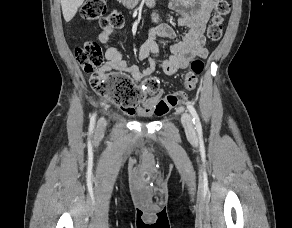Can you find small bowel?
<instances>
[{
	"label": "small bowel",
	"mask_w": 292,
	"mask_h": 228,
	"mask_svg": "<svg viewBox=\"0 0 292 228\" xmlns=\"http://www.w3.org/2000/svg\"><path fill=\"white\" fill-rule=\"evenodd\" d=\"M216 3L217 0H170L169 8L177 16V25L185 28L186 32L179 41L169 46V56L166 59L159 58L160 47L157 38L174 39L176 31L171 25L161 21L157 11L153 12L154 26L137 53L139 60L148 61V65L143 69L129 65L121 53L110 45L111 36L116 29H102L98 40L104 45L106 62L100 72L116 70L128 73L135 81H142L151 77L158 69L171 76L186 69L193 57L206 58L208 49L204 31ZM161 95L162 90L158 88L150 97L144 99L138 108H121L128 115L151 116L156 114L155 108Z\"/></svg>",
	"instance_id": "obj_1"
}]
</instances>
